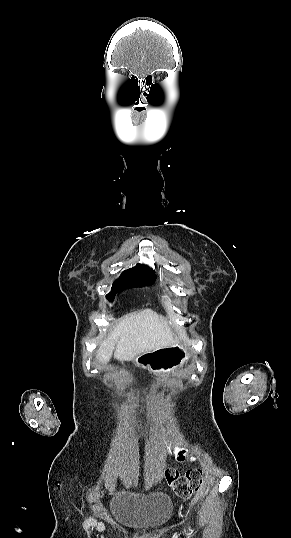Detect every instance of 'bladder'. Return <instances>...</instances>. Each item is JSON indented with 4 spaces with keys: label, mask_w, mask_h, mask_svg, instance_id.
<instances>
[{
    "label": "bladder",
    "mask_w": 291,
    "mask_h": 538,
    "mask_svg": "<svg viewBox=\"0 0 291 538\" xmlns=\"http://www.w3.org/2000/svg\"><path fill=\"white\" fill-rule=\"evenodd\" d=\"M110 508L116 524L136 532H153L168 523L173 504L161 490L136 492L119 484L111 491Z\"/></svg>",
    "instance_id": "obj_1"
}]
</instances>
